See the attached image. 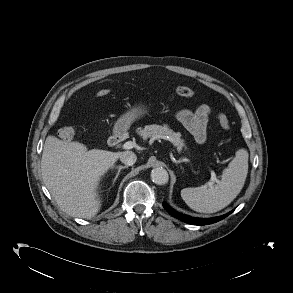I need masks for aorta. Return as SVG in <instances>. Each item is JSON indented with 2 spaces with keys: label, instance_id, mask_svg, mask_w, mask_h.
I'll list each match as a JSON object with an SVG mask.
<instances>
[{
  "label": "aorta",
  "instance_id": "1",
  "mask_svg": "<svg viewBox=\"0 0 293 293\" xmlns=\"http://www.w3.org/2000/svg\"><path fill=\"white\" fill-rule=\"evenodd\" d=\"M151 179L157 185H164L169 180V175L166 169L157 167L151 171Z\"/></svg>",
  "mask_w": 293,
  "mask_h": 293
}]
</instances>
